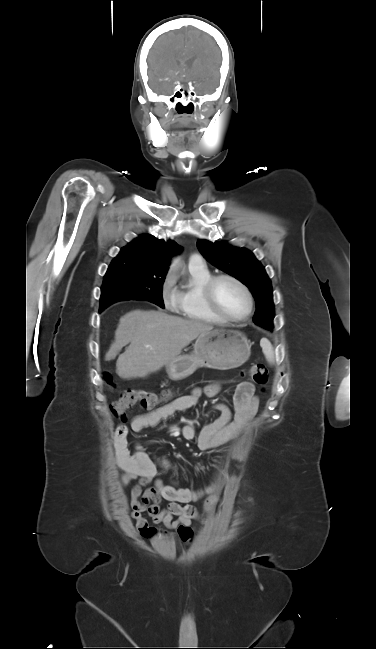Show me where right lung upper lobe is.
Here are the masks:
<instances>
[{
  "label": "right lung upper lobe",
  "instance_id": "cb5924a9",
  "mask_svg": "<svg viewBox=\"0 0 376 649\" xmlns=\"http://www.w3.org/2000/svg\"><path fill=\"white\" fill-rule=\"evenodd\" d=\"M174 241L159 240L152 235H140L123 247L116 258H128L143 262L151 272L167 271L169 254L176 251ZM180 250H177L179 252Z\"/></svg>",
  "mask_w": 376,
  "mask_h": 649
}]
</instances>
